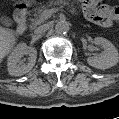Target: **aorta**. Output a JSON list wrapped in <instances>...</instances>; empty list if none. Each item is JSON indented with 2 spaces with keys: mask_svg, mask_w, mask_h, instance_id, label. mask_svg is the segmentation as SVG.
Segmentation results:
<instances>
[{
  "mask_svg": "<svg viewBox=\"0 0 119 119\" xmlns=\"http://www.w3.org/2000/svg\"><path fill=\"white\" fill-rule=\"evenodd\" d=\"M69 24L65 20H60L55 25V30L59 34L67 33L69 31Z\"/></svg>",
  "mask_w": 119,
  "mask_h": 119,
  "instance_id": "obj_1",
  "label": "aorta"
}]
</instances>
